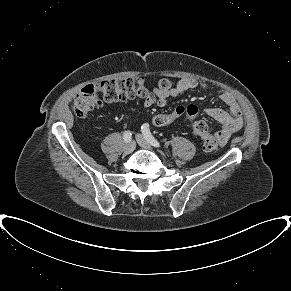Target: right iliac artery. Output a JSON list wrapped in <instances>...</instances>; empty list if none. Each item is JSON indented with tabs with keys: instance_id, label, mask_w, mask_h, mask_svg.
I'll list each match as a JSON object with an SVG mask.
<instances>
[{
	"instance_id": "82829eb1",
	"label": "right iliac artery",
	"mask_w": 291,
	"mask_h": 291,
	"mask_svg": "<svg viewBox=\"0 0 291 291\" xmlns=\"http://www.w3.org/2000/svg\"><path fill=\"white\" fill-rule=\"evenodd\" d=\"M123 139L126 143H129L132 139V134L130 131H125L123 135Z\"/></svg>"
}]
</instances>
